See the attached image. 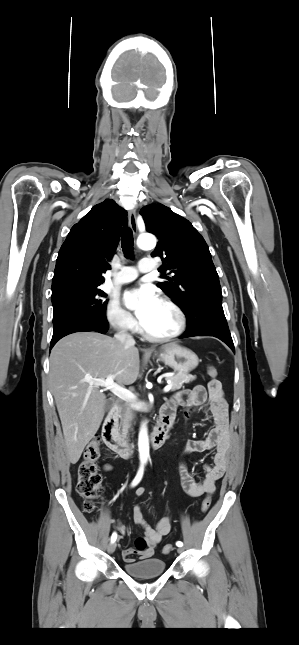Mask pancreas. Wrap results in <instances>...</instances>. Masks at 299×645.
Returning <instances> with one entry per match:
<instances>
[{"label":"pancreas","instance_id":"obj_1","mask_svg":"<svg viewBox=\"0 0 299 645\" xmlns=\"http://www.w3.org/2000/svg\"><path fill=\"white\" fill-rule=\"evenodd\" d=\"M195 376L189 375V374H183V373H178L174 376L167 377V380L171 381V391H175L180 389L184 383H189L193 380H195ZM129 410L131 411V408L129 407ZM123 434L126 435L127 433V427L123 430Z\"/></svg>","mask_w":299,"mask_h":645}]
</instances>
